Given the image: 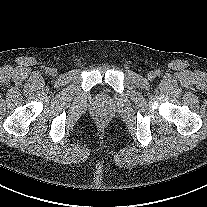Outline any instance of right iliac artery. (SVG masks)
Segmentation results:
<instances>
[{"mask_svg": "<svg viewBox=\"0 0 207 207\" xmlns=\"http://www.w3.org/2000/svg\"><path fill=\"white\" fill-rule=\"evenodd\" d=\"M46 73L50 72V68H45Z\"/></svg>", "mask_w": 207, "mask_h": 207, "instance_id": "1", "label": "right iliac artery"}]
</instances>
